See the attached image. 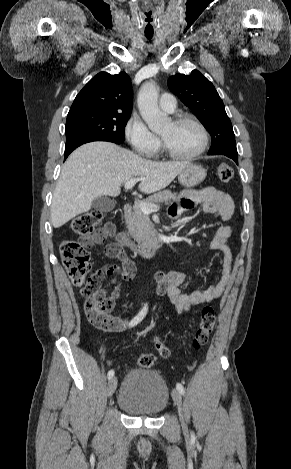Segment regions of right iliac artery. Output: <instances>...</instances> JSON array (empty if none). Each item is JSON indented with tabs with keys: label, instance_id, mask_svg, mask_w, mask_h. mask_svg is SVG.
Instances as JSON below:
<instances>
[{
	"label": "right iliac artery",
	"instance_id": "right-iliac-artery-1",
	"mask_svg": "<svg viewBox=\"0 0 291 469\" xmlns=\"http://www.w3.org/2000/svg\"><path fill=\"white\" fill-rule=\"evenodd\" d=\"M147 311H148V305L145 304L144 307L140 310V312L130 321L129 327H134L139 322H141L143 318L146 316ZM113 376H114V370H110L107 374L108 379H111Z\"/></svg>",
	"mask_w": 291,
	"mask_h": 469
}]
</instances>
